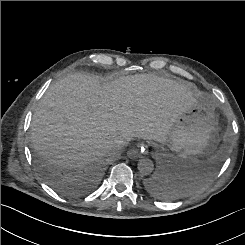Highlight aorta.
<instances>
[{
  "instance_id": "762f6f07",
  "label": "aorta",
  "mask_w": 245,
  "mask_h": 245,
  "mask_svg": "<svg viewBox=\"0 0 245 245\" xmlns=\"http://www.w3.org/2000/svg\"><path fill=\"white\" fill-rule=\"evenodd\" d=\"M138 170L143 175H149L154 170V164L152 160L148 158H142L138 162Z\"/></svg>"
}]
</instances>
